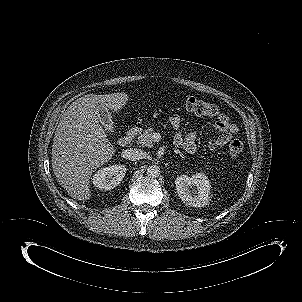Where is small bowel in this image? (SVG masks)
Returning <instances> with one entry per match:
<instances>
[{
  "instance_id": "c3829d8e",
  "label": "small bowel",
  "mask_w": 302,
  "mask_h": 302,
  "mask_svg": "<svg viewBox=\"0 0 302 302\" xmlns=\"http://www.w3.org/2000/svg\"><path fill=\"white\" fill-rule=\"evenodd\" d=\"M170 124L174 129H179L181 126V118L179 115H172L170 117ZM215 130L219 135L207 142V145L212 148L223 147L228 144L232 137L236 134L237 128L231 124L225 116H220L214 124ZM196 133L190 132L183 134L178 132L175 136V143L183 146L187 151L195 150Z\"/></svg>"
}]
</instances>
